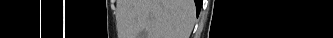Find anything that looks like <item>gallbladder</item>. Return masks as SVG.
Instances as JSON below:
<instances>
[{"mask_svg": "<svg viewBox=\"0 0 333 38\" xmlns=\"http://www.w3.org/2000/svg\"><path fill=\"white\" fill-rule=\"evenodd\" d=\"M147 31L146 30H143L140 35H139V38H147Z\"/></svg>", "mask_w": 333, "mask_h": 38, "instance_id": "gallbladder-1", "label": "gallbladder"}]
</instances>
